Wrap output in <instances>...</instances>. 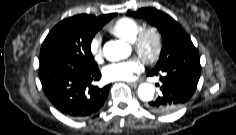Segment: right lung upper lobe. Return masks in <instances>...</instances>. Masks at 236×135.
I'll use <instances>...</instances> for the list:
<instances>
[{
    "mask_svg": "<svg viewBox=\"0 0 236 135\" xmlns=\"http://www.w3.org/2000/svg\"><path fill=\"white\" fill-rule=\"evenodd\" d=\"M77 16L88 19V20H91V21L99 22V21H102V20L108 18L109 14L102 15V16H99V17L93 16V15H88V14H82V15H77Z\"/></svg>",
    "mask_w": 236,
    "mask_h": 135,
    "instance_id": "1",
    "label": "right lung upper lobe"
}]
</instances>
